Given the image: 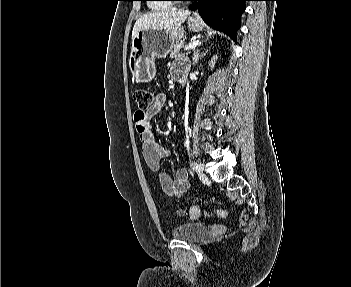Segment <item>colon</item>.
<instances>
[{"mask_svg":"<svg viewBox=\"0 0 351 287\" xmlns=\"http://www.w3.org/2000/svg\"><path fill=\"white\" fill-rule=\"evenodd\" d=\"M133 98L137 104L138 111L146 112L154 103L155 96L153 91L149 89L138 88L134 91ZM210 214L218 218H225L227 216V211L223 209ZM242 220L244 221L245 217H242Z\"/></svg>","mask_w":351,"mask_h":287,"instance_id":"5ec220e1","label":"colon"}]
</instances>
